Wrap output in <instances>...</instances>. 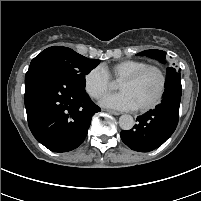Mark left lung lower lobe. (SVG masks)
Masks as SVG:
<instances>
[{"label": "left lung lower lobe", "instance_id": "0a47b994", "mask_svg": "<svg viewBox=\"0 0 201 201\" xmlns=\"http://www.w3.org/2000/svg\"><path fill=\"white\" fill-rule=\"evenodd\" d=\"M181 93V79L170 80L165 85L161 103L138 116L137 124L131 130L121 131L122 141L138 152H149L160 147L177 127Z\"/></svg>", "mask_w": 201, "mask_h": 201}]
</instances>
